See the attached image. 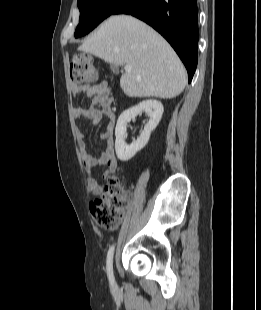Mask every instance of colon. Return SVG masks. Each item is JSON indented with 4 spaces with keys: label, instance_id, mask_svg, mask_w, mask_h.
I'll use <instances>...</instances> for the list:
<instances>
[{
    "label": "colon",
    "instance_id": "colon-1",
    "mask_svg": "<svg viewBox=\"0 0 261 310\" xmlns=\"http://www.w3.org/2000/svg\"><path fill=\"white\" fill-rule=\"evenodd\" d=\"M70 78L74 85H89L98 79V69L93 57L76 53L70 63ZM128 192L114 177L107 180L104 191L90 202V212L95 222L107 230L115 229L121 222L127 206Z\"/></svg>",
    "mask_w": 261,
    "mask_h": 310
}]
</instances>
